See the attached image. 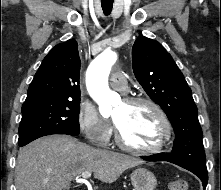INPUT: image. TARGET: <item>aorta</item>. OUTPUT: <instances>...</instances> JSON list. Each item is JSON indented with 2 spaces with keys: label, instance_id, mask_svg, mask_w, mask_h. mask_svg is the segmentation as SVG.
Segmentation results:
<instances>
[{
  "label": "aorta",
  "instance_id": "obj_1",
  "mask_svg": "<svg viewBox=\"0 0 221 190\" xmlns=\"http://www.w3.org/2000/svg\"><path fill=\"white\" fill-rule=\"evenodd\" d=\"M116 60L117 54L106 50L91 62L86 74L87 90L103 117L110 116L113 105L119 101V96L108 85V77Z\"/></svg>",
  "mask_w": 221,
  "mask_h": 190
}]
</instances>
